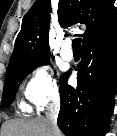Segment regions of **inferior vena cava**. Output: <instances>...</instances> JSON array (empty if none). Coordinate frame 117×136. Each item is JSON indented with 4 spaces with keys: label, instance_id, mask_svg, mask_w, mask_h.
<instances>
[{
    "label": "inferior vena cava",
    "instance_id": "602c4592",
    "mask_svg": "<svg viewBox=\"0 0 117 136\" xmlns=\"http://www.w3.org/2000/svg\"><path fill=\"white\" fill-rule=\"evenodd\" d=\"M60 109V102L58 99H54L53 102L49 105L48 111L46 113L47 120L52 126L53 130V136H57V132L59 131L57 127V118H58V113Z\"/></svg>",
    "mask_w": 117,
    "mask_h": 136
}]
</instances>
